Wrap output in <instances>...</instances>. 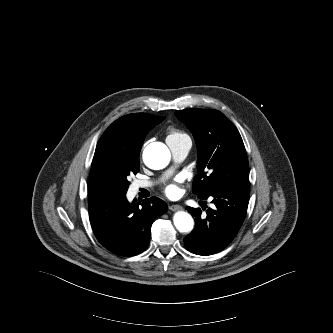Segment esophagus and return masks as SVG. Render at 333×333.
Here are the masks:
<instances>
[{
	"instance_id": "esophagus-1",
	"label": "esophagus",
	"mask_w": 333,
	"mask_h": 333,
	"mask_svg": "<svg viewBox=\"0 0 333 333\" xmlns=\"http://www.w3.org/2000/svg\"><path fill=\"white\" fill-rule=\"evenodd\" d=\"M169 209H170L171 211H178V210H182L183 207H182L181 205L174 204V205L169 206Z\"/></svg>"
}]
</instances>
